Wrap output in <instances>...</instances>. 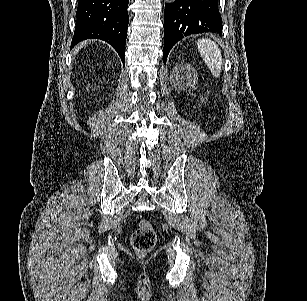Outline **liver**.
<instances>
[{"label": "liver", "mask_w": 307, "mask_h": 301, "mask_svg": "<svg viewBox=\"0 0 307 301\" xmlns=\"http://www.w3.org/2000/svg\"><path fill=\"white\" fill-rule=\"evenodd\" d=\"M92 40H84V42H80V44H78V46H75V48H73V52H79L80 48H83V46H85V44H91Z\"/></svg>", "instance_id": "1"}]
</instances>
